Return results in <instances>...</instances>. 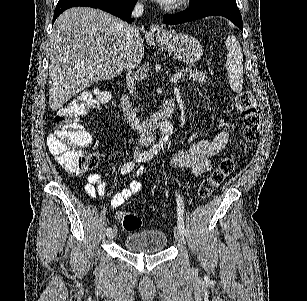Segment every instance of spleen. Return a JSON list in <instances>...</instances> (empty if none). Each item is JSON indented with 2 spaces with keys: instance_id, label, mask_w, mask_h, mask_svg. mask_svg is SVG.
<instances>
[{
  "instance_id": "3e777b00",
  "label": "spleen",
  "mask_w": 307,
  "mask_h": 301,
  "mask_svg": "<svg viewBox=\"0 0 307 301\" xmlns=\"http://www.w3.org/2000/svg\"><path fill=\"white\" fill-rule=\"evenodd\" d=\"M229 52L226 60V70L229 76V84L234 92H241L243 88V54L240 42L234 34H229L225 40Z\"/></svg>"
}]
</instances>
